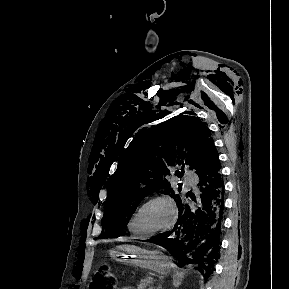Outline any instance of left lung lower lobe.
I'll list each match as a JSON object with an SVG mask.
<instances>
[{"label": "left lung lower lobe", "instance_id": "left-lung-lower-lobe-1", "mask_svg": "<svg viewBox=\"0 0 289 289\" xmlns=\"http://www.w3.org/2000/svg\"><path fill=\"white\" fill-rule=\"evenodd\" d=\"M197 193H187L193 202L176 200L179 217L172 231L151 238L150 242L168 249L185 264L196 263L204 278L214 270L223 214V178L215 149L202 168L196 171Z\"/></svg>", "mask_w": 289, "mask_h": 289}]
</instances>
